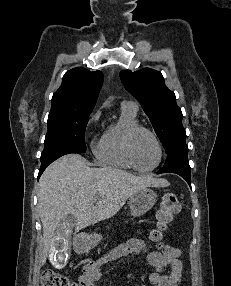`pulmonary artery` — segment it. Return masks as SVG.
<instances>
[{"mask_svg":"<svg viewBox=\"0 0 231 286\" xmlns=\"http://www.w3.org/2000/svg\"><path fill=\"white\" fill-rule=\"evenodd\" d=\"M121 105L124 108H128V109H131V110H134V111H137V109H138V104L135 101H127V100H125V101L122 102Z\"/></svg>","mask_w":231,"mask_h":286,"instance_id":"e3ab8cb5","label":"pulmonary artery"}]
</instances>
